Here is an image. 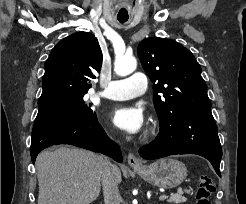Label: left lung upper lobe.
Segmentation results:
<instances>
[{
    "mask_svg": "<svg viewBox=\"0 0 246 204\" xmlns=\"http://www.w3.org/2000/svg\"><path fill=\"white\" fill-rule=\"evenodd\" d=\"M137 52L155 83L153 101L160 125L177 115L211 110L201 66L187 48L170 39L147 38Z\"/></svg>",
    "mask_w": 246,
    "mask_h": 204,
    "instance_id": "1",
    "label": "left lung upper lobe"
}]
</instances>
